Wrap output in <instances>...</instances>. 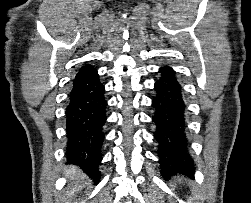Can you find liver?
Listing matches in <instances>:
<instances>
[{
	"label": "liver",
	"mask_w": 251,
	"mask_h": 203,
	"mask_svg": "<svg viewBox=\"0 0 251 203\" xmlns=\"http://www.w3.org/2000/svg\"><path fill=\"white\" fill-rule=\"evenodd\" d=\"M65 175L70 179V180H76L81 176V172L80 170H78V168L72 166L69 167L66 171H65ZM74 191L71 192V194H73Z\"/></svg>",
	"instance_id": "obj_1"
}]
</instances>
